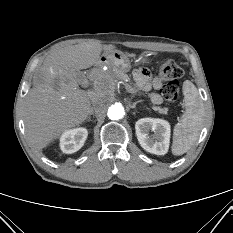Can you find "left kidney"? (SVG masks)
Returning <instances> with one entry per match:
<instances>
[{
  "mask_svg": "<svg viewBox=\"0 0 233 233\" xmlns=\"http://www.w3.org/2000/svg\"><path fill=\"white\" fill-rule=\"evenodd\" d=\"M137 139L141 147L156 155L168 152L170 143V124L163 119L142 118L135 124ZM150 131L154 134L150 135Z\"/></svg>",
  "mask_w": 233,
  "mask_h": 233,
  "instance_id": "obj_1",
  "label": "left kidney"
}]
</instances>
